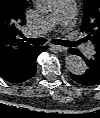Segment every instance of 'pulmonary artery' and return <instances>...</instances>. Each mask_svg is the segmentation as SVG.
I'll list each match as a JSON object with an SVG mask.
<instances>
[{"mask_svg": "<svg viewBox=\"0 0 100 118\" xmlns=\"http://www.w3.org/2000/svg\"><path fill=\"white\" fill-rule=\"evenodd\" d=\"M76 10L75 0H61L57 10L41 19L37 24L31 27L30 31L33 35H41L49 32L55 25L69 26L73 22ZM93 51L92 46H87V54Z\"/></svg>", "mask_w": 100, "mask_h": 118, "instance_id": "e3ab8cb5", "label": "pulmonary artery"}]
</instances>
